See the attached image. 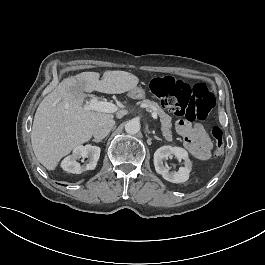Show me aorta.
<instances>
[{
  "label": "aorta",
  "mask_w": 265,
  "mask_h": 265,
  "mask_svg": "<svg viewBox=\"0 0 265 265\" xmlns=\"http://www.w3.org/2000/svg\"><path fill=\"white\" fill-rule=\"evenodd\" d=\"M125 131L128 134H136L140 131V122L139 120L133 118L125 124Z\"/></svg>",
  "instance_id": "1"
}]
</instances>
